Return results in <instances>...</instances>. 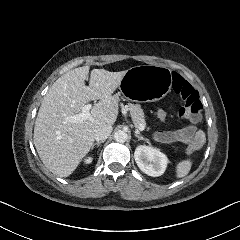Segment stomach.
I'll list each match as a JSON object with an SVG mask.
<instances>
[{"instance_id": "obj_1", "label": "stomach", "mask_w": 240, "mask_h": 240, "mask_svg": "<svg viewBox=\"0 0 240 240\" xmlns=\"http://www.w3.org/2000/svg\"><path fill=\"white\" fill-rule=\"evenodd\" d=\"M171 73L165 67L135 66L126 71L119 84L120 93L128 101L155 102L171 89Z\"/></svg>"}]
</instances>
